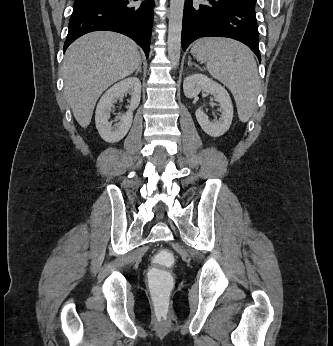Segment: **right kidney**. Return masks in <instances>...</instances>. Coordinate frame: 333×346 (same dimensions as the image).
I'll list each match as a JSON object with an SVG mask.
<instances>
[{
  "instance_id": "right-kidney-1",
  "label": "right kidney",
  "mask_w": 333,
  "mask_h": 346,
  "mask_svg": "<svg viewBox=\"0 0 333 346\" xmlns=\"http://www.w3.org/2000/svg\"><path fill=\"white\" fill-rule=\"evenodd\" d=\"M129 93L131 96L128 112L116 117L119 123L112 126L109 122L114 102ZM141 98V82L136 77H129L116 83L101 97L95 112L96 128L105 141L115 143L120 141L129 131L133 121V111L138 107Z\"/></svg>"
}]
</instances>
